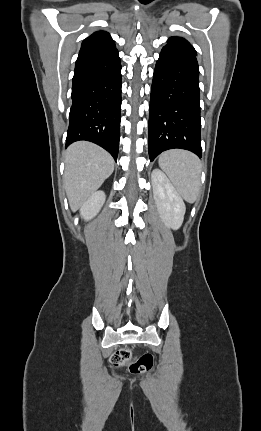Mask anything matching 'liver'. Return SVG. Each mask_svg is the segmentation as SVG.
<instances>
[{
    "instance_id": "1",
    "label": "liver",
    "mask_w": 261,
    "mask_h": 431,
    "mask_svg": "<svg viewBox=\"0 0 261 431\" xmlns=\"http://www.w3.org/2000/svg\"><path fill=\"white\" fill-rule=\"evenodd\" d=\"M113 170V158L101 147L87 141L71 144L65 155L64 183L72 211L81 208Z\"/></svg>"
}]
</instances>
